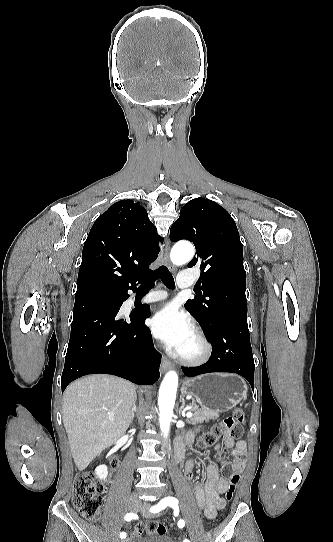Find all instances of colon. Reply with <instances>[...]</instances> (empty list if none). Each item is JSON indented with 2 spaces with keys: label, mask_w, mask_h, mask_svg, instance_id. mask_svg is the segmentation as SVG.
<instances>
[{
  "label": "colon",
  "mask_w": 333,
  "mask_h": 542,
  "mask_svg": "<svg viewBox=\"0 0 333 542\" xmlns=\"http://www.w3.org/2000/svg\"><path fill=\"white\" fill-rule=\"evenodd\" d=\"M244 420L245 416L241 410L234 411L232 415L217 422L210 431L203 433L198 440L199 446L206 449L215 446L221 439L239 440L243 435ZM244 465V458L236 456L231 465L224 466L223 471L230 482L223 493L224 501L231 500L235 488L240 482ZM111 466L115 467L116 463H112ZM105 480L104 476L97 473L79 474L74 477L72 503L89 520H97L100 517ZM142 531L148 536L163 535L165 527L158 521H149L143 526Z\"/></svg>",
  "instance_id": "5ec220e1"
}]
</instances>
